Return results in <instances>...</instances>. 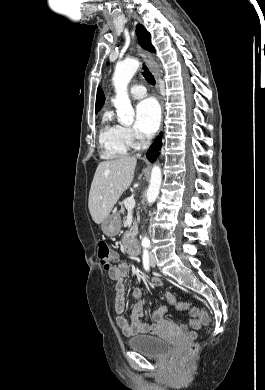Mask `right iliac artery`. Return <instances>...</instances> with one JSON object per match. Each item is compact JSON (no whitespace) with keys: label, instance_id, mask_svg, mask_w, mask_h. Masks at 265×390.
<instances>
[{"label":"right iliac artery","instance_id":"right-iliac-artery-1","mask_svg":"<svg viewBox=\"0 0 265 390\" xmlns=\"http://www.w3.org/2000/svg\"><path fill=\"white\" fill-rule=\"evenodd\" d=\"M143 266L146 271H150L149 253L146 248L143 250Z\"/></svg>","mask_w":265,"mask_h":390}]
</instances>
